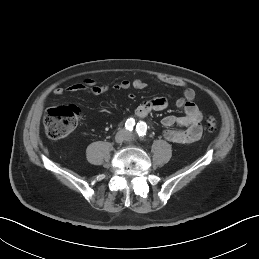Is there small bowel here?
<instances>
[{
  "instance_id": "1",
  "label": "small bowel",
  "mask_w": 259,
  "mask_h": 259,
  "mask_svg": "<svg viewBox=\"0 0 259 259\" xmlns=\"http://www.w3.org/2000/svg\"><path fill=\"white\" fill-rule=\"evenodd\" d=\"M159 80L183 89L182 95L176 100V107L183 110L184 115L177 117L174 115L165 116L162 124L167 128L164 131V138L169 142L178 145L191 144L199 141L202 137V112L195 103V91L188 87L186 81L180 78L160 76ZM147 84L140 78L123 79L113 86L115 91H125L131 88L144 90ZM109 90L107 85L98 84L93 79H85L82 82L72 84L66 88L58 87L54 90L55 95L62 96L82 92L87 95H102ZM132 96V95H130ZM169 102L164 97H156L140 103L135 109V115L139 118L146 117L152 112L167 109ZM177 127V128H175Z\"/></svg>"
}]
</instances>
